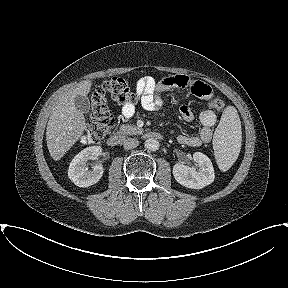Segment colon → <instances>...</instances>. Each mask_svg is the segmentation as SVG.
I'll return each mask as SVG.
<instances>
[{
	"label": "colon",
	"mask_w": 288,
	"mask_h": 288,
	"mask_svg": "<svg viewBox=\"0 0 288 288\" xmlns=\"http://www.w3.org/2000/svg\"><path fill=\"white\" fill-rule=\"evenodd\" d=\"M110 98L120 105L134 104L139 96L133 92L127 82L119 77H112L98 86L91 95V120L87 124L84 134V141L90 144H97L106 139L113 116L107 105ZM212 109L222 112L225 103L220 97H216L210 103Z\"/></svg>",
	"instance_id": "1"
}]
</instances>
